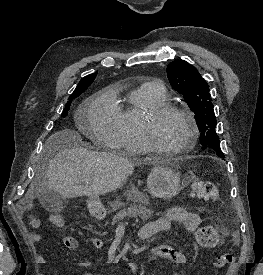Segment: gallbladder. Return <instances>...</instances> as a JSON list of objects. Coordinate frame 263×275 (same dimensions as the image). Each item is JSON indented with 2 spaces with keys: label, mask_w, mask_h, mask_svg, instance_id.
I'll list each match as a JSON object with an SVG mask.
<instances>
[{
  "label": "gallbladder",
  "mask_w": 263,
  "mask_h": 275,
  "mask_svg": "<svg viewBox=\"0 0 263 275\" xmlns=\"http://www.w3.org/2000/svg\"><path fill=\"white\" fill-rule=\"evenodd\" d=\"M38 198L43 208L49 212H61L64 208L61 195L53 190L44 189Z\"/></svg>",
  "instance_id": "gallbladder-1"
}]
</instances>
